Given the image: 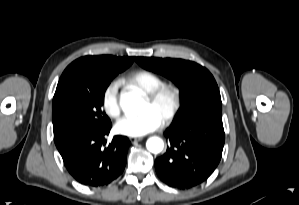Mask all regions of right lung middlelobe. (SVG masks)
<instances>
[{"label": "right lung middle lobe", "instance_id": "obj_1", "mask_svg": "<svg viewBox=\"0 0 299 205\" xmlns=\"http://www.w3.org/2000/svg\"><path fill=\"white\" fill-rule=\"evenodd\" d=\"M117 74L70 71L60 79L52 106L54 142L58 149L79 134L111 125L101 107L105 91Z\"/></svg>", "mask_w": 299, "mask_h": 205}]
</instances>
